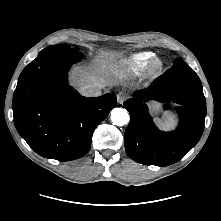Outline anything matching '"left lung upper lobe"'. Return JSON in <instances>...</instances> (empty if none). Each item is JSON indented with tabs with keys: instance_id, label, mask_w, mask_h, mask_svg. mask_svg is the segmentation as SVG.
Listing matches in <instances>:
<instances>
[{
	"instance_id": "left-lung-upper-lobe-1",
	"label": "left lung upper lobe",
	"mask_w": 221,
	"mask_h": 221,
	"mask_svg": "<svg viewBox=\"0 0 221 221\" xmlns=\"http://www.w3.org/2000/svg\"><path fill=\"white\" fill-rule=\"evenodd\" d=\"M181 64H184V62L181 59H175L173 66L181 65Z\"/></svg>"
}]
</instances>
